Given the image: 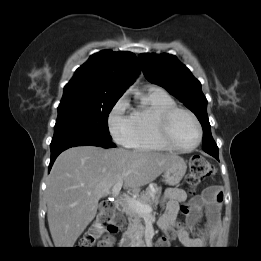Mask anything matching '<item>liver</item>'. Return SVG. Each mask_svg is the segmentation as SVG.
Returning a JSON list of instances; mask_svg holds the SVG:
<instances>
[{
    "label": "liver",
    "instance_id": "liver-1",
    "mask_svg": "<svg viewBox=\"0 0 261 261\" xmlns=\"http://www.w3.org/2000/svg\"><path fill=\"white\" fill-rule=\"evenodd\" d=\"M177 157L174 154L78 146L62 152L50 172L47 189L49 230L57 248H71L94 219L99 200L123 179L138 193Z\"/></svg>",
    "mask_w": 261,
    "mask_h": 261
}]
</instances>
